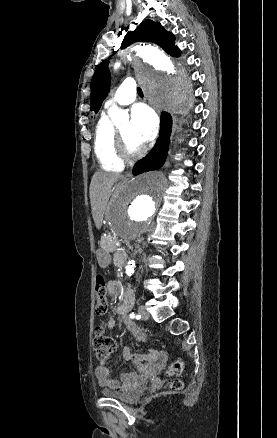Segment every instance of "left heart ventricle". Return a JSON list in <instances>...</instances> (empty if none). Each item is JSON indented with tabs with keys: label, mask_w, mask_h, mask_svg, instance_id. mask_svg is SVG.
Here are the masks:
<instances>
[{
	"label": "left heart ventricle",
	"mask_w": 277,
	"mask_h": 438,
	"mask_svg": "<svg viewBox=\"0 0 277 438\" xmlns=\"http://www.w3.org/2000/svg\"><path fill=\"white\" fill-rule=\"evenodd\" d=\"M119 133L124 137L128 150L136 154L139 152V147L132 135V128L130 123H126L117 129Z\"/></svg>",
	"instance_id": "left-heart-ventricle-1"
}]
</instances>
